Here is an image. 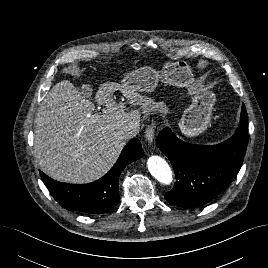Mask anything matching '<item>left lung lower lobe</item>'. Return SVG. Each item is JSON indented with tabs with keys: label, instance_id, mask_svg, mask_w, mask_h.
Returning a JSON list of instances; mask_svg holds the SVG:
<instances>
[{
	"label": "left lung lower lobe",
	"instance_id": "obj_1",
	"mask_svg": "<svg viewBox=\"0 0 268 268\" xmlns=\"http://www.w3.org/2000/svg\"><path fill=\"white\" fill-rule=\"evenodd\" d=\"M241 113L247 115L244 104ZM247 123V118L241 117L234 135L217 145L189 144L164 128L156 145L169 158L177 180L164 198L174 206L195 208L224 191L242 165L248 143Z\"/></svg>",
	"mask_w": 268,
	"mask_h": 268
}]
</instances>
